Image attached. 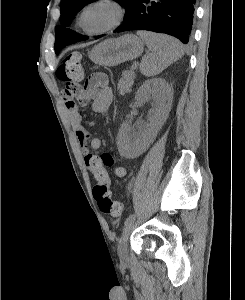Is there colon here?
<instances>
[{
	"mask_svg": "<svg viewBox=\"0 0 245 300\" xmlns=\"http://www.w3.org/2000/svg\"><path fill=\"white\" fill-rule=\"evenodd\" d=\"M56 76L65 85L63 96L66 100L77 95L84 76L80 54L72 52L65 56L56 70ZM93 196L101 212L112 216H118L122 213V203L112 200L109 190H95L93 188Z\"/></svg>",
	"mask_w": 245,
	"mask_h": 300,
	"instance_id": "1",
	"label": "colon"
}]
</instances>
